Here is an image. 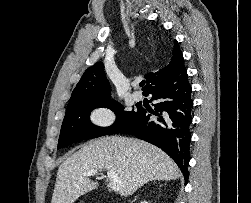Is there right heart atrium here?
<instances>
[{"label":"right heart atrium","instance_id":"right-heart-atrium-1","mask_svg":"<svg viewBox=\"0 0 251 203\" xmlns=\"http://www.w3.org/2000/svg\"><path fill=\"white\" fill-rule=\"evenodd\" d=\"M115 119V115L110 108L99 107L91 114V121L98 127H108Z\"/></svg>","mask_w":251,"mask_h":203}]
</instances>
